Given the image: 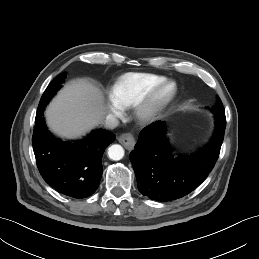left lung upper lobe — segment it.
I'll use <instances>...</instances> for the list:
<instances>
[{"label": "left lung upper lobe", "mask_w": 259, "mask_h": 259, "mask_svg": "<svg viewBox=\"0 0 259 259\" xmlns=\"http://www.w3.org/2000/svg\"><path fill=\"white\" fill-rule=\"evenodd\" d=\"M211 111L214 113H225L220 98H218L216 105L211 109Z\"/></svg>", "instance_id": "left-lung-upper-lobe-1"}]
</instances>
